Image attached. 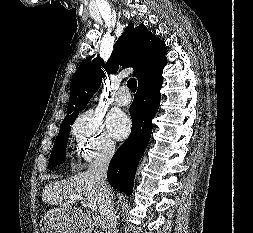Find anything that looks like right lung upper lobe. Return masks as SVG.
I'll list each match as a JSON object with an SVG mask.
<instances>
[{"label": "right lung upper lobe", "mask_w": 253, "mask_h": 233, "mask_svg": "<svg viewBox=\"0 0 253 233\" xmlns=\"http://www.w3.org/2000/svg\"><path fill=\"white\" fill-rule=\"evenodd\" d=\"M165 44L145 25L134 27L130 23L125 32L114 45V50L105 64L99 56L92 55L78 67L70 84V102L65 118L79 114L98 90L102 77L116 73L119 65L123 68L133 67V76L140 84L152 74L161 71L166 63Z\"/></svg>", "instance_id": "cb5924a9"}]
</instances>
